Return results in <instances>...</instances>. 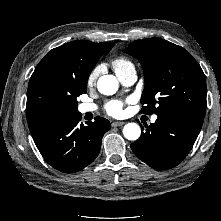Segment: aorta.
<instances>
[{
	"mask_svg": "<svg viewBox=\"0 0 221 221\" xmlns=\"http://www.w3.org/2000/svg\"><path fill=\"white\" fill-rule=\"evenodd\" d=\"M118 87V80L113 75H103L98 79L97 82L98 91L104 95L115 94ZM123 135L128 140H137L141 135V128L136 123H128L123 127Z\"/></svg>",
	"mask_w": 221,
	"mask_h": 221,
	"instance_id": "obj_1",
	"label": "aorta"
}]
</instances>
